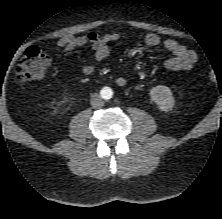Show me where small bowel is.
Segmentation results:
<instances>
[{"mask_svg": "<svg viewBox=\"0 0 222 219\" xmlns=\"http://www.w3.org/2000/svg\"><path fill=\"white\" fill-rule=\"evenodd\" d=\"M120 39L118 32H111L100 34L95 31H90L82 36H65L57 42V47L66 51L73 50L77 47L90 45L96 61L100 62L105 60L110 53L109 44L116 42ZM145 43L147 46L155 48L163 45V48L168 51L171 56L167 58L164 65L167 69L172 71H188L196 63L197 56L194 51L181 45L174 39H166L161 42L160 37L155 33H149L145 36ZM95 71L92 64H86L82 67V72L85 75H91ZM119 86H124L127 83V78L120 76L116 79Z\"/></svg>", "mask_w": 222, "mask_h": 219, "instance_id": "obj_1", "label": "small bowel"}]
</instances>
